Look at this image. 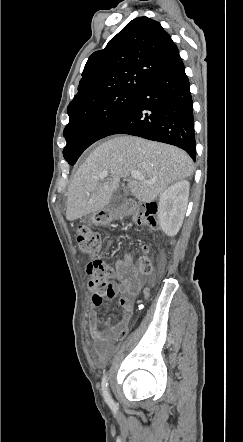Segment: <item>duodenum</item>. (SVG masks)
<instances>
[{
	"mask_svg": "<svg viewBox=\"0 0 243 442\" xmlns=\"http://www.w3.org/2000/svg\"><path fill=\"white\" fill-rule=\"evenodd\" d=\"M133 207H132V202L131 201H127V203L125 204L124 207V213L129 214L131 212H133Z\"/></svg>",
	"mask_w": 243,
	"mask_h": 442,
	"instance_id": "410a0bca",
	"label": "duodenum"
}]
</instances>
